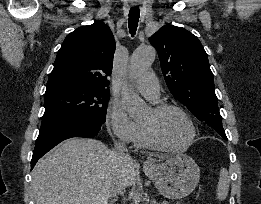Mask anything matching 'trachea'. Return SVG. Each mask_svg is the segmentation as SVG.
<instances>
[{"label": "trachea", "instance_id": "obj_1", "mask_svg": "<svg viewBox=\"0 0 261 204\" xmlns=\"http://www.w3.org/2000/svg\"><path fill=\"white\" fill-rule=\"evenodd\" d=\"M139 17H140L139 7L131 8L129 11V22H128L129 32L131 36H134L136 34Z\"/></svg>", "mask_w": 261, "mask_h": 204}]
</instances>
